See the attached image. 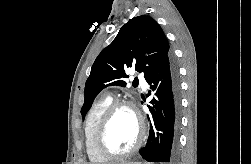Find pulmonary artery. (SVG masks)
Segmentation results:
<instances>
[{
    "mask_svg": "<svg viewBox=\"0 0 251 164\" xmlns=\"http://www.w3.org/2000/svg\"><path fill=\"white\" fill-rule=\"evenodd\" d=\"M138 79L140 80V82H141L142 86H143L144 88H146V87H147V85H146V82L144 81L143 77L138 76Z\"/></svg>",
    "mask_w": 251,
    "mask_h": 164,
    "instance_id": "1",
    "label": "pulmonary artery"
}]
</instances>
